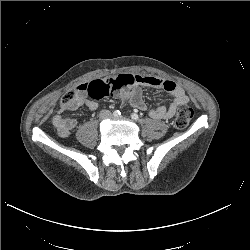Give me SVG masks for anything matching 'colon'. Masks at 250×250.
<instances>
[{
  "label": "colon",
  "instance_id": "obj_1",
  "mask_svg": "<svg viewBox=\"0 0 250 250\" xmlns=\"http://www.w3.org/2000/svg\"><path fill=\"white\" fill-rule=\"evenodd\" d=\"M87 94L94 100L107 98L111 95V87L103 79L90 82L86 88ZM77 92L72 90L62 98V105L66 108L72 106L76 100ZM193 110L188 106L180 107L175 115L174 125L178 129L185 128L193 118Z\"/></svg>",
  "mask_w": 250,
  "mask_h": 250
}]
</instances>
